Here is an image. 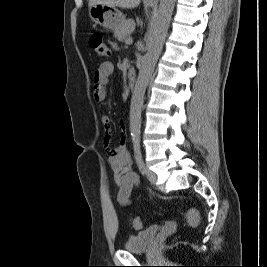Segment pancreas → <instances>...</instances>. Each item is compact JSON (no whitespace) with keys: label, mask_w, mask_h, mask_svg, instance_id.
I'll list each match as a JSON object with an SVG mask.
<instances>
[{"label":"pancreas","mask_w":267,"mask_h":267,"mask_svg":"<svg viewBox=\"0 0 267 267\" xmlns=\"http://www.w3.org/2000/svg\"><path fill=\"white\" fill-rule=\"evenodd\" d=\"M135 22L133 19H128L124 22L121 28L115 32V36L118 40H126L127 37L134 31Z\"/></svg>","instance_id":"1"}]
</instances>
